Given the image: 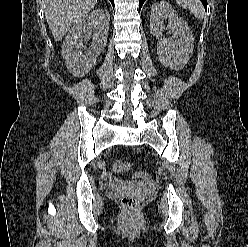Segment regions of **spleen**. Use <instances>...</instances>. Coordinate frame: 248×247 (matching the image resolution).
I'll return each mask as SVG.
<instances>
[{
  "mask_svg": "<svg viewBox=\"0 0 248 247\" xmlns=\"http://www.w3.org/2000/svg\"><path fill=\"white\" fill-rule=\"evenodd\" d=\"M176 2L183 8L189 9L198 19H203L204 9L199 0H176Z\"/></svg>",
  "mask_w": 248,
  "mask_h": 247,
  "instance_id": "3e777b00",
  "label": "spleen"
}]
</instances>
